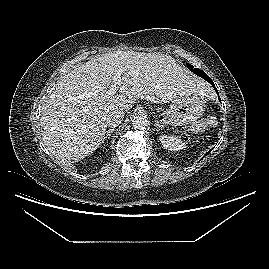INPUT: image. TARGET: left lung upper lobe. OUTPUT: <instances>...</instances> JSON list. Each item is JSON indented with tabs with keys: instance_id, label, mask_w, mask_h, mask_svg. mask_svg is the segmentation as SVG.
Instances as JSON below:
<instances>
[{
	"instance_id": "5c2ea615",
	"label": "left lung upper lobe",
	"mask_w": 269,
	"mask_h": 269,
	"mask_svg": "<svg viewBox=\"0 0 269 269\" xmlns=\"http://www.w3.org/2000/svg\"><path fill=\"white\" fill-rule=\"evenodd\" d=\"M187 67L193 72H196V70H198V68H194L191 64H187Z\"/></svg>"
}]
</instances>
